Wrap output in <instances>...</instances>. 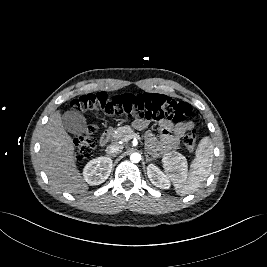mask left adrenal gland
Returning a JSON list of instances; mask_svg holds the SVG:
<instances>
[{
	"mask_svg": "<svg viewBox=\"0 0 267 267\" xmlns=\"http://www.w3.org/2000/svg\"><path fill=\"white\" fill-rule=\"evenodd\" d=\"M154 158H151V157H149V155L148 154H146V161L148 162V161H151V160H153Z\"/></svg>",
	"mask_w": 267,
	"mask_h": 267,
	"instance_id": "left-adrenal-gland-1",
	"label": "left adrenal gland"
}]
</instances>
